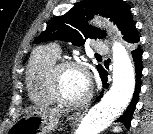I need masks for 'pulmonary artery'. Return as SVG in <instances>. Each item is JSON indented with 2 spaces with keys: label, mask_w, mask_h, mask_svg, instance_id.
I'll return each instance as SVG.
<instances>
[{
  "label": "pulmonary artery",
  "mask_w": 153,
  "mask_h": 134,
  "mask_svg": "<svg viewBox=\"0 0 153 134\" xmlns=\"http://www.w3.org/2000/svg\"><path fill=\"white\" fill-rule=\"evenodd\" d=\"M53 49L59 53V49L57 47H54ZM94 50L99 54H103L107 52V47L103 42L97 41L94 43Z\"/></svg>",
  "instance_id": "pulmonary-artery-1"
}]
</instances>
